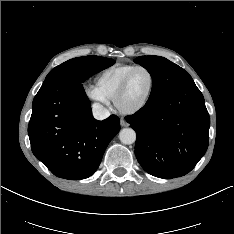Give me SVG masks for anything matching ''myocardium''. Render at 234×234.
Masks as SVG:
<instances>
[{
	"label": "myocardium",
	"instance_id": "obj_1",
	"mask_svg": "<svg viewBox=\"0 0 234 234\" xmlns=\"http://www.w3.org/2000/svg\"><path fill=\"white\" fill-rule=\"evenodd\" d=\"M137 70H145L150 75V87H149L148 93H147L146 97L143 99V101L141 103H139L138 105H136L132 108H124L121 105V100H122L124 94L126 93V90L128 88L129 81H130L132 75ZM154 88H155V75L152 72V70L150 68H148L146 66H142V65L135 66L133 69H131L126 74V76L122 80V82H121V84H120V86H119V88L114 96L113 102H114V106H115L116 110L124 115H132V114H135V113L141 111L150 101L151 96H152L153 91H154Z\"/></svg>",
	"mask_w": 234,
	"mask_h": 234
}]
</instances>
